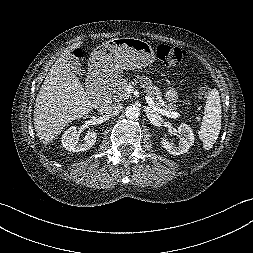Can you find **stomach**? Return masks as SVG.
<instances>
[{
    "label": "stomach",
    "mask_w": 253,
    "mask_h": 253,
    "mask_svg": "<svg viewBox=\"0 0 253 253\" xmlns=\"http://www.w3.org/2000/svg\"><path fill=\"white\" fill-rule=\"evenodd\" d=\"M155 54L151 45L138 38H114L99 46L92 53L89 65L93 76L120 77L123 69H142L151 65ZM164 96L168 102L178 101L177 89L167 86Z\"/></svg>",
    "instance_id": "1"
}]
</instances>
